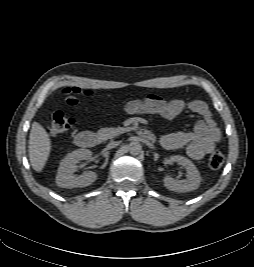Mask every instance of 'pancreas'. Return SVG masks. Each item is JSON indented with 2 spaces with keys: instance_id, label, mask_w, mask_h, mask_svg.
Instances as JSON below:
<instances>
[{
  "instance_id": "1",
  "label": "pancreas",
  "mask_w": 254,
  "mask_h": 267,
  "mask_svg": "<svg viewBox=\"0 0 254 267\" xmlns=\"http://www.w3.org/2000/svg\"><path fill=\"white\" fill-rule=\"evenodd\" d=\"M125 131L123 128H101L98 130L97 135L102 140L111 139Z\"/></svg>"
}]
</instances>
